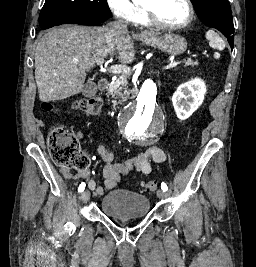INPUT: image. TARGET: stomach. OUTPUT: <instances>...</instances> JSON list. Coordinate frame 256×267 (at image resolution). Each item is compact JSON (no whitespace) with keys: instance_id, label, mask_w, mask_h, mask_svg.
<instances>
[{"instance_id":"stomach-1","label":"stomach","mask_w":256,"mask_h":267,"mask_svg":"<svg viewBox=\"0 0 256 267\" xmlns=\"http://www.w3.org/2000/svg\"><path fill=\"white\" fill-rule=\"evenodd\" d=\"M149 46L158 48L161 52L169 56H178L187 50V42L182 36L176 34H156V36H146Z\"/></svg>"}]
</instances>
